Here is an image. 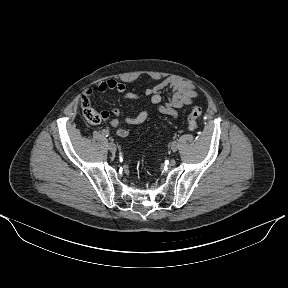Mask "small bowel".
Segmentation results:
<instances>
[{
	"label": "small bowel",
	"instance_id": "1",
	"mask_svg": "<svg viewBox=\"0 0 288 288\" xmlns=\"http://www.w3.org/2000/svg\"><path fill=\"white\" fill-rule=\"evenodd\" d=\"M108 90L116 91L121 94L123 101H136L141 99V95L129 90L126 85L115 79H108L98 82L95 88H89L84 94V98L89 99L94 92L104 93ZM169 92L167 99H164V93ZM144 97L149 98L151 104L157 106L158 111L164 115L175 119L177 111L193 103L198 97V91L193 83L178 77H168L157 85L144 91ZM103 120H108L110 125L115 129L117 136L121 138L127 137L131 130L121 126L119 117L122 112L119 108H112L101 113ZM149 117L147 110H142L135 116H126L124 122L127 125H140Z\"/></svg>",
	"mask_w": 288,
	"mask_h": 288
}]
</instances>
